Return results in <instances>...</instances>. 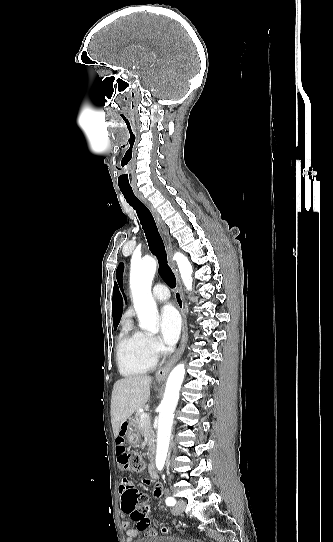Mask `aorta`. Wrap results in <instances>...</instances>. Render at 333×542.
<instances>
[{"label":"aorta","instance_id":"762f6f07","mask_svg":"<svg viewBox=\"0 0 333 542\" xmlns=\"http://www.w3.org/2000/svg\"><path fill=\"white\" fill-rule=\"evenodd\" d=\"M182 282L187 290H192V266L183 254H174ZM157 264L151 256H145L142 262L131 268L130 286L135 312L138 316L141 330H148L156 334L158 310L151 292V284L156 272ZM185 376L184 364H178L170 372L164 398L159 406V420L157 432L156 468L163 470L169 448L173 414L179 400V392Z\"/></svg>","mask_w":333,"mask_h":542}]
</instances>
